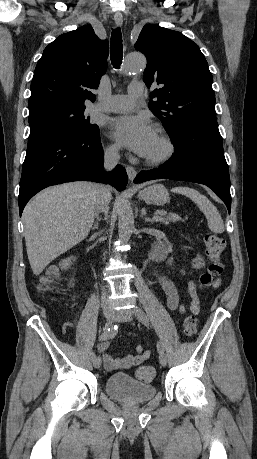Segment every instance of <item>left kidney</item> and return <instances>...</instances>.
Segmentation results:
<instances>
[{
  "label": "left kidney",
  "instance_id": "5707ae66",
  "mask_svg": "<svg viewBox=\"0 0 257 459\" xmlns=\"http://www.w3.org/2000/svg\"><path fill=\"white\" fill-rule=\"evenodd\" d=\"M172 262H173V258H170V259L168 260V263L171 264Z\"/></svg>",
  "mask_w": 257,
  "mask_h": 459
}]
</instances>
